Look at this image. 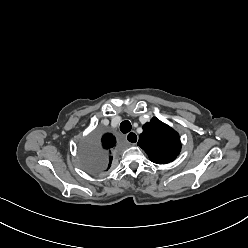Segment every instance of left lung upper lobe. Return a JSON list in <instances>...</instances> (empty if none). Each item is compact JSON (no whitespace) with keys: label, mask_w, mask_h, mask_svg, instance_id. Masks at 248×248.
Returning a JSON list of instances; mask_svg holds the SVG:
<instances>
[{"label":"left lung upper lobe","mask_w":248,"mask_h":248,"mask_svg":"<svg viewBox=\"0 0 248 248\" xmlns=\"http://www.w3.org/2000/svg\"><path fill=\"white\" fill-rule=\"evenodd\" d=\"M138 145L157 164L173 161L181 149L179 134L156 117L143 125Z\"/></svg>","instance_id":"1"}]
</instances>
